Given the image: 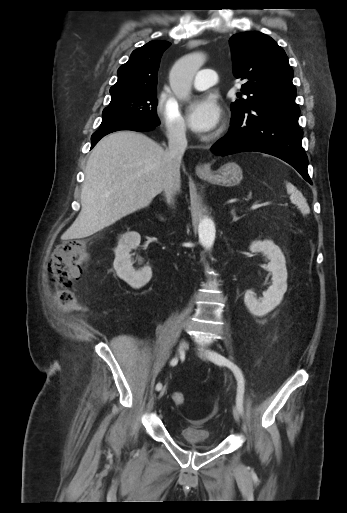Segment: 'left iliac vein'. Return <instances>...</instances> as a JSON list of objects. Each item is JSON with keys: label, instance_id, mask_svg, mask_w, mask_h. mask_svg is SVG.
Listing matches in <instances>:
<instances>
[{"label": "left iliac vein", "instance_id": "4c4485c4", "mask_svg": "<svg viewBox=\"0 0 347 513\" xmlns=\"http://www.w3.org/2000/svg\"><path fill=\"white\" fill-rule=\"evenodd\" d=\"M199 356L203 359V360H207L208 359V353L205 352V351H199ZM233 417L235 419L236 422H239L240 421V412L238 410V408L236 406L233 407Z\"/></svg>", "mask_w": 347, "mask_h": 513}]
</instances>
